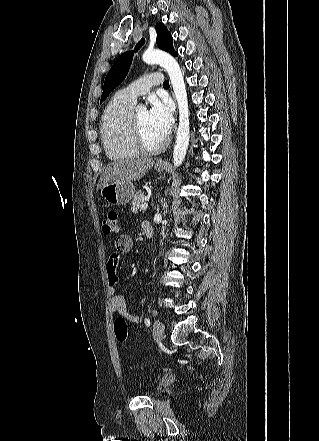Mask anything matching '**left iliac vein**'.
Instances as JSON below:
<instances>
[{"mask_svg":"<svg viewBox=\"0 0 319 441\" xmlns=\"http://www.w3.org/2000/svg\"><path fill=\"white\" fill-rule=\"evenodd\" d=\"M164 334V325L161 321L155 320L153 324V337L156 341H161Z\"/></svg>","mask_w":319,"mask_h":441,"instance_id":"obj_1","label":"left iliac vein"}]
</instances>
